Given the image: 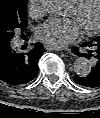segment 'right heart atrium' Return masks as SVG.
Instances as JSON below:
<instances>
[{"label":"right heart atrium","instance_id":"1","mask_svg":"<svg viewBox=\"0 0 100 118\" xmlns=\"http://www.w3.org/2000/svg\"><path fill=\"white\" fill-rule=\"evenodd\" d=\"M28 9L32 17H40L44 13V0H29Z\"/></svg>","mask_w":100,"mask_h":118}]
</instances>
